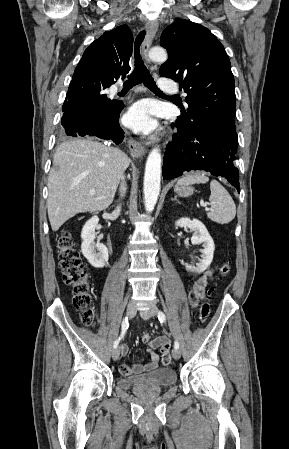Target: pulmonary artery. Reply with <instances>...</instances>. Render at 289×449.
<instances>
[{
    "mask_svg": "<svg viewBox=\"0 0 289 449\" xmlns=\"http://www.w3.org/2000/svg\"><path fill=\"white\" fill-rule=\"evenodd\" d=\"M159 86H160L162 89L167 90V89L170 88V81L167 80V79H165V78H161V79H159Z\"/></svg>",
    "mask_w": 289,
    "mask_h": 449,
    "instance_id": "e3ab8cb5",
    "label": "pulmonary artery"
}]
</instances>
